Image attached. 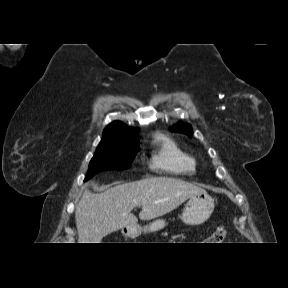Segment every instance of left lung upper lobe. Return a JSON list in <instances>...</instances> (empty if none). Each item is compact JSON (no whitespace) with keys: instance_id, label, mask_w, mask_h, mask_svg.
<instances>
[{"instance_id":"1","label":"left lung upper lobe","mask_w":288,"mask_h":288,"mask_svg":"<svg viewBox=\"0 0 288 288\" xmlns=\"http://www.w3.org/2000/svg\"><path fill=\"white\" fill-rule=\"evenodd\" d=\"M171 131H175V132L177 131V132H183L186 134H190L192 131V128L188 124H178L176 127H173L171 129Z\"/></svg>"}]
</instances>
